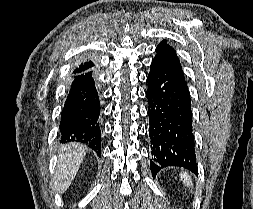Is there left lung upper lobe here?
I'll use <instances>...</instances> for the list:
<instances>
[{"instance_id": "obj_1", "label": "left lung upper lobe", "mask_w": 253, "mask_h": 209, "mask_svg": "<svg viewBox=\"0 0 253 209\" xmlns=\"http://www.w3.org/2000/svg\"><path fill=\"white\" fill-rule=\"evenodd\" d=\"M156 53L157 54L154 59L163 60L170 63L171 65L176 67L184 76L177 54L172 47L167 45L166 40H163L162 42L159 43V45L156 48Z\"/></svg>"}]
</instances>
